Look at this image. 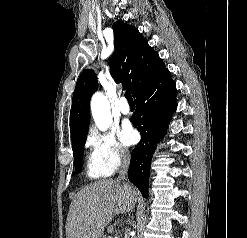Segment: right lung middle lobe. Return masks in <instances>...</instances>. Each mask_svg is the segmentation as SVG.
<instances>
[{"instance_id":"dd1d6c3e","label":"right lung middle lobe","mask_w":247,"mask_h":238,"mask_svg":"<svg viewBox=\"0 0 247 238\" xmlns=\"http://www.w3.org/2000/svg\"><path fill=\"white\" fill-rule=\"evenodd\" d=\"M87 137H84L77 141L76 143L72 144L73 153H74V162L76 172L80 173L82 170V156L84 153V144Z\"/></svg>"}]
</instances>
